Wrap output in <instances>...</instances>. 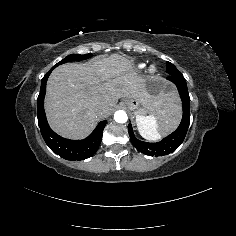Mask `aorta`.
Here are the masks:
<instances>
[{
  "instance_id": "1",
  "label": "aorta",
  "mask_w": 236,
  "mask_h": 236,
  "mask_svg": "<svg viewBox=\"0 0 236 236\" xmlns=\"http://www.w3.org/2000/svg\"><path fill=\"white\" fill-rule=\"evenodd\" d=\"M127 118V113L124 110H118L114 113V120L118 123H125Z\"/></svg>"
}]
</instances>
